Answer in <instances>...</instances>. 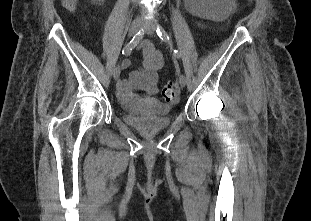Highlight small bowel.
Masks as SVG:
<instances>
[{"label": "small bowel", "mask_w": 311, "mask_h": 221, "mask_svg": "<svg viewBox=\"0 0 311 221\" xmlns=\"http://www.w3.org/2000/svg\"><path fill=\"white\" fill-rule=\"evenodd\" d=\"M140 50L143 55L142 65L133 70L129 77L119 84L123 97L128 96L131 88H136L146 95H153L157 92L159 72L164 63L163 54L148 40L142 42Z\"/></svg>", "instance_id": "c3829d8e"}]
</instances>
